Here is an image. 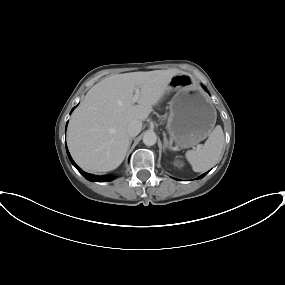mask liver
<instances>
[{
  "mask_svg": "<svg viewBox=\"0 0 285 285\" xmlns=\"http://www.w3.org/2000/svg\"><path fill=\"white\" fill-rule=\"evenodd\" d=\"M180 74L189 75L178 69L139 71L95 84L69 121L67 142L74 161L90 173L116 169L128 150L129 122L145 121ZM135 88L140 90L137 105L132 100Z\"/></svg>",
  "mask_w": 285,
  "mask_h": 285,
  "instance_id": "obj_1",
  "label": "liver"
}]
</instances>
